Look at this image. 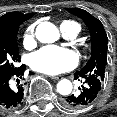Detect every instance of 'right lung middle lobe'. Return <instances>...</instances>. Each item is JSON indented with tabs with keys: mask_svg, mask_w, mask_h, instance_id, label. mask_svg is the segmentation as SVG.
Wrapping results in <instances>:
<instances>
[{
	"mask_svg": "<svg viewBox=\"0 0 117 117\" xmlns=\"http://www.w3.org/2000/svg\"><path fill=\"white\" fill-rule=\"evenodd\" d=\"M18 30L0 29V69L10 70L20 61L16 40Z\"/></svg>",
	"mask_w": 117,
	"mask_h": 117,
	"instance_id": "obj_1",
	"label": "right lung middle lobe"
}]
</instances>
